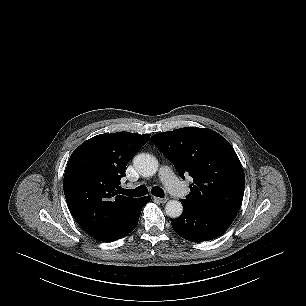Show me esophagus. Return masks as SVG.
Masks as SVG:
<instances>
[{
    "mask_svg": "<svg viewBox=\"0 0 306 306\" xmlns=\"http://www.w3.org/2000/svg\"><path fill=\"white\" fill-rule=\"evenodd\" d=\"M154 200L158 203H166L169 200V198L168 197H165V198L154 197Z\"/></svg>",
    "mask_w": 306,
    "mask_h": 306,
    "instance_id": "1",
    "label": "esophagus"
}]
</instances>
